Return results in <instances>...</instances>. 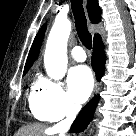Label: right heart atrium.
<instances>
[{"mask_svg":"<svg viewBox=\"0 0 136 136\" xmlns=\"http://www.w3.org/2000/svg\"><path fill=\"white\" fill-rule=\"evenodd\" d=\"M35 106L49 121H57L77 111L60 82L40 78L34 93Z\"/></svg>","mask_w":136,"mask_h":136,"instance_id":"obj_1","label":"right heart atrium"}]
</instances>
